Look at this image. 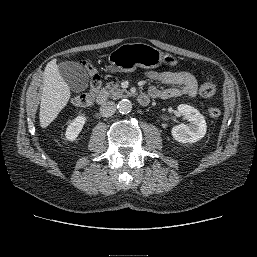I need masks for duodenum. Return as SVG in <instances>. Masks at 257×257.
<instances>
[{
    "mask_svg": "<svg viewBox=\"0 0 257 257\" xmlns=\"http://www.w3.org/2000/svg\"><path fill=\"white\" fill-rule=\"evenodd\" d=\"M107 100V93L106 92H100L97 97H96V101L98 104H104ZM138 102L141 104V105H147L148 102H149V97L142 93L138 96Z\"/></svg>",
    "mask_w": 257,
    "mask_h": 257,
    "instance_id": "410a0bca",
    "label": "duodenum"
}]
</instances>
